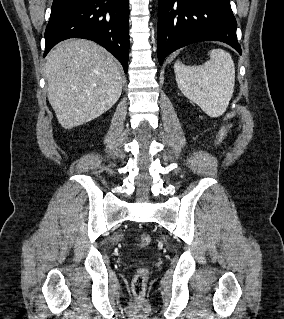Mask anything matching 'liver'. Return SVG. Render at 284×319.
Segmentation results:
<instances>
[{
    "instance_id": "liver-1",
    "label": "liver",
    "mask_w": 284,
    "mask_h": 319,
    "mask_svg": "<svg viewBox=\"0 0 284 319\" xmlns=\"http://www.w3.org/2000/svg\"><path fill=\"white\" fill-rule=\"evenodd\" d=\"M48 100L65 129L89 122L107 110L122 92V69L103 47L85 39L58 44L45 65Z\"/></svg>"
}]
</instances>
